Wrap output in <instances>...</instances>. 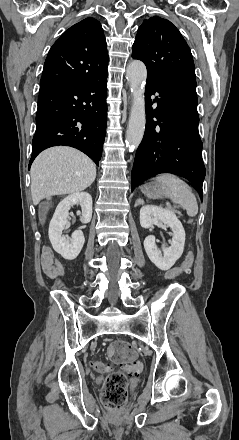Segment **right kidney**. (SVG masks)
Returning a JSON list of instances; mask_svg holds the SVG:
<instances>
[{
	"label": "right kidney",
	"instance_id": "1",
	"mask_svg": "<svg viewBox=\"0 0 239 440\" xmlns=\"http://www.w3.org/2000/svg\"><path fill=\"white\" fill-rule=\"evenodd\" d=\"M72 206H81V222L89 224L92 218V198L88 192H77L70 194L58 204L55 214L49 224V240L53 242L56 253H61L64 260H75L79 256L85 242L82 230H75L72 238L62 236L63 230L69 218V210ZM67 242H70L68 244Z\"/></svg>",
	"mask_w": 239,
	"mask_h": 440
}]
</instances>
